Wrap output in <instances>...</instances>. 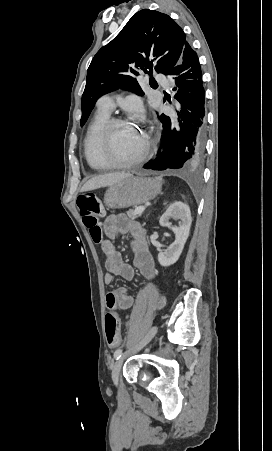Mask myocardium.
Segmentation results:
<instances>
[{"label": "myocardium", "instance_id": "1", "mask_svg": "<svg viewBox=\"0 0 272 451\" xmlns=\"http://www.w3.org/2000/svg\"><path fill=\"white\" fill-rule=\"evenodd\" d=\"M120 123H128L127 118L122 117H111L109 118L103 125L99 136L98 142L100 144L101 157L105 167H108L111 163H113L114 149H113V141H112V130L113 127ZM146 144H137L131 151V154L128 158L123 161L133 162L140 157V155L145 150ZM121 165L116 164L113 167H120Z\"/></svg>", "mask_w": 272, "mask_h": 451}]
</instances>
